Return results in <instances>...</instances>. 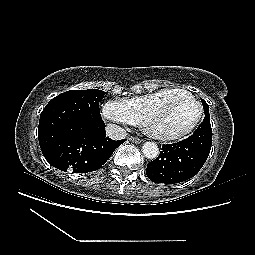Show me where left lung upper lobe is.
I'll return each instance as SVG.
<instances>
[{"mask_svg":"<svg viewBox=\"0 0 255 255\" xmlns=\"http://www.w3.org/2000/svg\"><path fill=\"white\" fill-rule=\"evenodd\" d=\"M201 101H202V104H203L204 112H209L208 104L203 99H201Z\"/></svg>","mask_w":255,"mask_h":255,"instance_id":"left-lung-upper-lobe-1","label":"left lung upper lobe"}]
</instances>
